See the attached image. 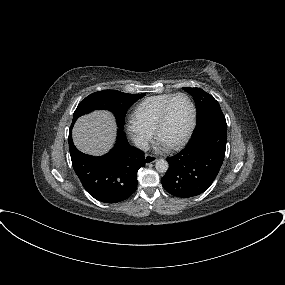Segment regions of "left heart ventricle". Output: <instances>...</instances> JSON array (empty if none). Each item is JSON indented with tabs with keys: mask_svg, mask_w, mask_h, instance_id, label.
Listing matches in <instances>:
<instances>
[{
	"mask_svg": "<svg viewBox=\"0 0 285 285\" xmlns=\"http://www.w3.org/2000/svg\"><path fill=\"white\" fill-rule=\"evenodd\" d=\"M191 119V107L184 97L176 98L168 112L165 124L159 133V140L165 145H171L183 137Z\"/></svg>",
	"mask_w": 285,
	"mask_h": 285,
	"instance_id": "b2bd125f",
	"label": "left heart ventricle"
}]
</instances>
